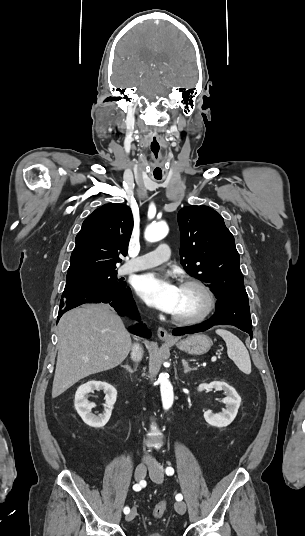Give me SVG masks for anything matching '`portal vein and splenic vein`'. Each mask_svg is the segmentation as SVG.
<instances>
[{
    "label": "portal vein and splenic vein",
    "instance_id": "portal-vein-and-splenic-vein-1",
    "mask_svg": "<svg viewBox=\"0 0 305 536\" xmlns=\"http://www.w3.org/2000/svg\"><path fill=\"white\" fill-rule=\"evenodd\" d=\"M217 358L216 356H213V358H211V362H216Z\"/></svg>",
    "mask_w": 305,
    "mask_h": 536
}]
</instances>
